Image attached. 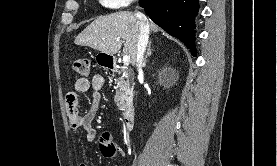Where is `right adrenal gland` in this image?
<instances>
[{
    "mask_svg": "<svg viewBox=\"0 0 277 166\" xmlns=\"http://www.w3.org/2000/svg\"><path fill=\"white\" fill-rule=\"evenodd\" d=\"M151 55H152V51H151V42H150V43H149V46H148L147 54H146V56H145V58H144V60H143V66L146 65L147 58H148L149 56H151Z\"/></svg>",
    "mask_w": 277,
    "mask_h": 166,
    "instance_id": "obj_1",
    "label": "right adrenal gland"
}]
</instances>
